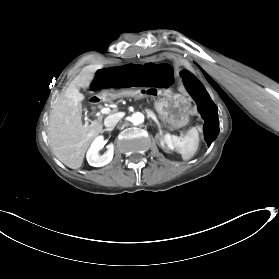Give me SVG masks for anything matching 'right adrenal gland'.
Returning a JSON list of instances; mask_svg holds the SVG:
<instances>
[{"instance_id":"right-adrenal-gland-1","label":"right adrenal gland","mask_w":279,"mask_h":279,"mask_svg":"<svg viewBox=\"0 0 279 279\" xmlns=\"http://www.w3.org/2000/svg\"><path fill=\"white\" fill-rule=\"evenodd\" d=\"M112 130V128H106V129H103V131L102 132H105V131H111Z\"/></svg>"}]
</instances>
